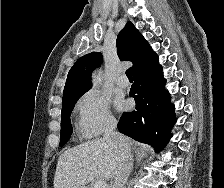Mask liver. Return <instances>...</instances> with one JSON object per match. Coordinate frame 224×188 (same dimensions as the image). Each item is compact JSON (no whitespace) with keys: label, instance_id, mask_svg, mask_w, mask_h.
Wrapping results in <instances>:
<instances>
[{"label":"liver","instance_id":"obj_1","mask_svg":"<svg viewBox=\"0 0 224 188\" xmlns=\"http://www.w3.org/2000/svg\"><path fill=\"white\" fill-rule=\"evenodd\" d=\"M130 148L134 141L124 137ZM139 154L144 153L140 149ZM119 161V152L104 138H96L60 155L54 175V188H87L96 177L114 178Z\"/></svg>","mask_w":224,"mask_h":188}]
</instances>
